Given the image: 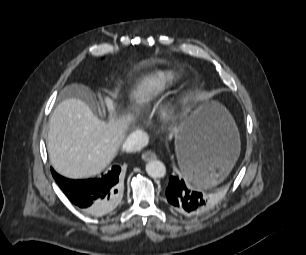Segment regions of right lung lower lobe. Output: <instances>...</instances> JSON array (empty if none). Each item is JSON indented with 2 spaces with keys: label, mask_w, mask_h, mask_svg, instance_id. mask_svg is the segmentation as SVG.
Here are the masks:
<instances>
[{
  "label": "right lung lower lobe",
  "mask_w": 306,
  "mask_h": 255,
  "mask_svg": "<svg viewBox=\"0 0 306 255\" xmlns=\"http://www.w3.org/2000/svg\"><path fill=\"white\" fill-rule=\"evenodd\" d=\"M52 175L69 200L82 211L102 216L111 212L121 196V168L117 165L100 178L70 180L51 169Z\"/></svg>",
  "instance_id": "right-lung-lower-lobe-1"
}]
</instances>
